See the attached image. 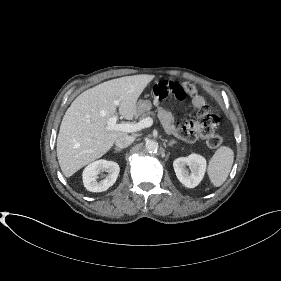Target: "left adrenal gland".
<instances>
[{
  "label": "left adrenal gland",
  "instance_id": "a2214340",
  "mask_svg": "<svg viewBox=\"0 0 281 281\" xmlns=\"http://www.w3.org/2000/svg\"><path fill=\"white\" fill-rule=\"evenodd\" d=\"M177 142L175 140H171L168 142V146H173L174 144H176Z\"/></svg>",
  "mask_w": 281,
  "mask_h": 281
}]
</instances>
